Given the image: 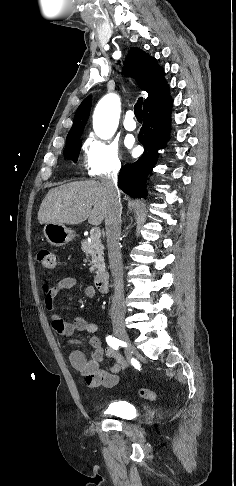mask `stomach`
I'll list each match as a JSON object with an SVG mask.
<instances>
[{
    "instance_id": "obj_1",
    "label": "stomach",
    "mask_w": 236,
    "mask_h": 486,
    "mask_svg": "<svg viewBox=\"0 0 236 486\" xmlns=\"http://www.w3.org/2000/svg\"><path fill=\"white\" fill-rule=\"evenodd\" d=\"M43 231L47 241L55 247L64 246L73 239L72 230L64 224L49 222Z\"/></svg>"
}]
</instances>
